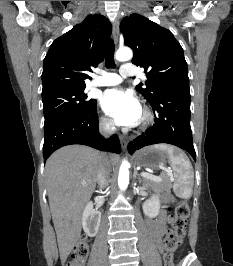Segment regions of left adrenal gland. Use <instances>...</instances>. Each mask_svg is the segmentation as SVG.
Returning a JSON list of instances; mask_svg holds the SVG:
<instances>
[{
	"instance_id": "a2214340",
	"label": "left adrenal gland",
	"mask_w": 233,
	"mask_h": 266,
	"mask_svg": "<svg viewBox=\"0 0 233 266\" xmlns=\"http://www.w3.org/2000/svg\"><path fill=\"white\" fill-rule=\"evenodd\" d=\"M133 177L134 179L138 178L139 183L142 182V179L140 178L138 171L136 169H134Z\"/></svg>"
}]
</instances>
